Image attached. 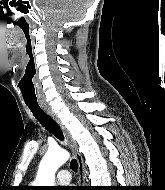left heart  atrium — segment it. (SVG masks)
I'll use <instances>...</instances> for the list:
<instances>
[{
	"label": "left heart atrium",
	"instance_id": "39dd6f15",
	"mask_svg": "<svg viewBox=\"0 0 165 190\" xmlns=\"http://www.w3.org/2000/svg\"><path fill=\"white\" fill-rule=\"evenodd\" d=\"M66 190H73V189H71V188H68V189H66Z\"/></svg>",
	"mask_w": 165,
	"mask_h": 190
}]
</instances>
